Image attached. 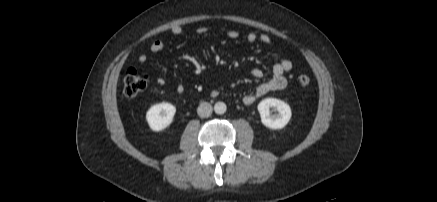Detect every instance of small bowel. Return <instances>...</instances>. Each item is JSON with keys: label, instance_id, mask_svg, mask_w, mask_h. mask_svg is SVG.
<instances>
[{"label": "small bowel", "instance_id": "obj_1", "mask_svg": "<svg viewBox=\"0 0 437 202\" xmlns=\"http://www.w3.org/2000/svg\"><path fill=\"white\" fill-rule=\"evenodd\" d=\"M208 31V28L205 26H201L197 28L196 33L201 35L205 34ZM171 35L179 36L183 33V29L181 26H174L170 30ZM226 36L229 39H238L240 37V33L236 30H230L226 33ZM246 40L249 43H254L256 41L261 42L262 44L269 45L271 43V38L269 35L249 33L246 35ZM166 48V43L163 40H156L150 45V51L152 53H160ZM148 57L145 54H141L138 57V62L141 64L146 63ZM292 69V62L288 59H282L278 63L273 66L272 69V77L260 84L252 93L246 95L243 98V102L246 105L253 104L258 98L264 96L265 94L271 91H280L286 88L287 86V78L286 74ZM252 76L255 78H260L263 75L262 70L256 68L252 70ZM157 83L161 86L165 85L166 81L163 77L157 78ZM176 91L178 93H182L184 91V86L179 84L176 87Z\"/></svg>", "mask_w": 437, "mask_h": 202}]
</instances>
